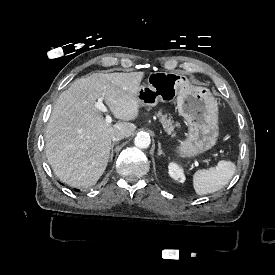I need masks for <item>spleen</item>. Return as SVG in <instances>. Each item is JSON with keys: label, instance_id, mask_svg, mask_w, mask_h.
Returning <instances> with one entry per match:
<instances>
[{"label": "spleen", "instance_id": "1", "mask_svg": "<svg viewBox=\"0 0 275 275\" xmlns=\"http://www.w3.org/2000/svg\"><path fill=\"white\" fill-rule=\"evenodd\" d=\"M236 166L232 161L219 160L216 165L197 170L192 185L197 195H206L222 189L234 175Z\"/></svg>", "mask_w": 275, "mask_h": 275}]
</instances>
